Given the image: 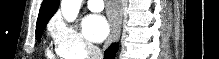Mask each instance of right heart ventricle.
I'll use <instances>...</instances> for the list:
<instances>
[{
    "label": "right heart ventricle",
    "mask_w": 219,
    "mask_h": 59,
    "mask_svg": "<svg viewBox=\"0 0 219 59\" xmlns=\"http://www.w3.org/2000/svg\"><path fill=\"white\" fill-rule=\"evenodd\" d=\"M45 54L48 58L50 59H55V58H58V59H66L63 54H61L56 48H54L53 50L52 49H49L47 48L45 50Z\"/></svg>",
    "instance_id": "obj_1"
}]
</instances>
